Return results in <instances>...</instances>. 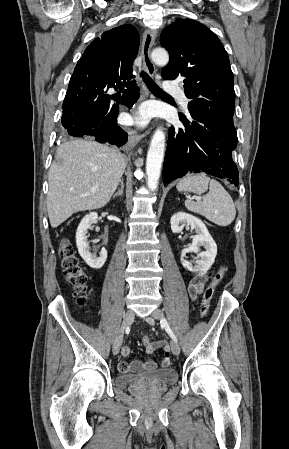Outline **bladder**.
Masks as SVG:
<instances>
[{
	"instance_id": "bladder-1",
	"label": "bladder",
	"mask_w": 289,
	"mask_h": 449,
	"mask_svg": "<svg viewBox=\"0 0 289 449\" xmlns=\"http://www.w3.org/2000/svg\"><path fill=\"white\" fill-rule=\"evenodd\" d=\"M177 378V371L174 368H160L139 374H118L115 377V385L120 389H127L132 386H169L174 384Z\"/></svg>"
}]
</instances>
